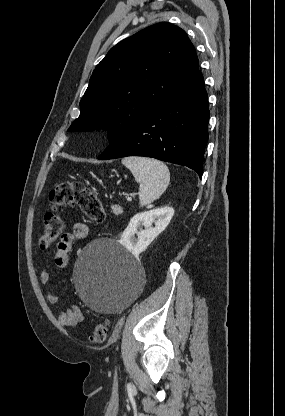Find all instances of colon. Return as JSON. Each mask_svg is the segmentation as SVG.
I'll list each match as a JSON object with an SVG mask.
<instances>
[{"label":"colon","mask_w":285,"mask_h":416,"mask_svg":"<svg viewBox=\"0 0 285 416\" xmlns=\"http://www.w3.org/2000/svg\"><path fill=\"white\" fill-rule=\"evenodd\" d=\"M50 210L45 214L44 229L39 245L45 249L52 245L62 234L64 223L60 212L64 206H76L84 215L95 223H103L106 218L104 206L98 195L81 182L62 181L49 193ZM110 331V324L104 320L96 324L91 334V341H105Z\"/></svg>","instance_id":"colon-1"}]
</instances>
